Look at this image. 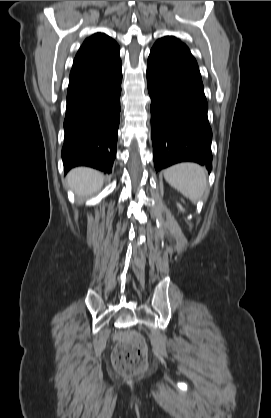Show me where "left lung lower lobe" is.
I'll return each instance as SVG.
<instances>
[{"mask_svg":"<svg viewBox=\"0 0 271 418\" xmlns=\"http://www.w3.org/2000/svg\"><path fill=\"white\" fill-rule=\"evenodd\" d=\"M147 82L156 171L182 161L197 162L210 171L208 103L188 47L169 36L157 40L148 58Z\"/></svg>","mask_w":271,"mask_h":418,"instance_id":"0a47b994","label":"left lung lower lobe"}]
</instances>
